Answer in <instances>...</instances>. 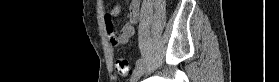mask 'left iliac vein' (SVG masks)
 Returning a JSON list of instances; mask_svg holds the SVG:
<instances>
[{"label": "left iliac vein", "instance_id": "1", "mask_svg": "<svg viewBox=\"0 0 279 82\" xmlns=\"http://www.w3.org/2000/svg\"><path fill=\"white\" fill-rule=\"evenodd\" d=\"M145 73V68L143 65H137L132 73L131 82H136Z\"/></svg>", "mask_w": 279, "mask_h": 82}]
</instances>
